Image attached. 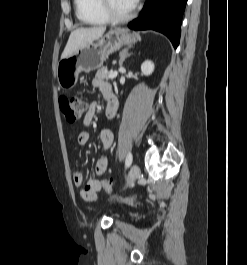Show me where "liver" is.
<instances>
[{
	"instance_id": "obj_1",
	"label": "liver",
	"mask_w": 247,
	"mask_h": 265,
	"mask_svg": "<svg viewBox=\"0 0 247 265\" xmlns=\"http://www.w3.org/2000/svg\"><path fill=\"white\" fill-rule=\"evenodd\" d=\"M105 30V27L78 28L74 30L69 36L66 47L61 55V59L70 56L87 43L99 39L104 34Z\"/></svg>"
}]
</instances>
